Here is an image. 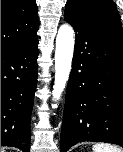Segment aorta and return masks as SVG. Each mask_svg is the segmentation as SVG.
I'll use <instances>...</instances> for the list:
<instances>
[{
  "mask_svg": "<svg viewBox=\"0 0 123 152\" xmlns=\"http://www.w3.org/2000/svg\"><path fill=\"white\" fill-rule=\"evenodd\" d=\"M75 34L69 24H63L58 30L55 49V80L53 85V101H58L69 79L74 52ZM52 108H57L53 104Z\"/></svg>",
  "mask_w": 123,
  "mask_h": 152,
  "instance_id": "obj_1",
  "label": "aorta"
}]
</instances>
